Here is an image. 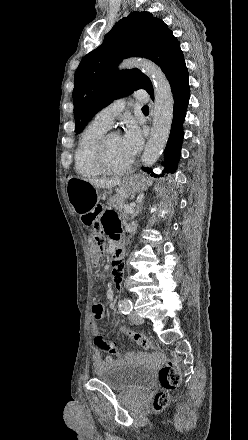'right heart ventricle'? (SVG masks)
I'll return each instance as SVG.
<instances>
[{"instance_id":"1","label":"right heart ventricle","mask_w":248,"mask_h":440,"mask_svg":"<svg viewBox=\"0 0 248 440\" xmlns=\"http://www.w3.org/2000/svg\"><path fill=\"white\" fill-rule=\"evenodd\" d=\"M107 129L93 121L82 132L74 155L75 170L79 175L96 178L104 174L96 163L95 153Z\"/></svg>"}]
</instances>
